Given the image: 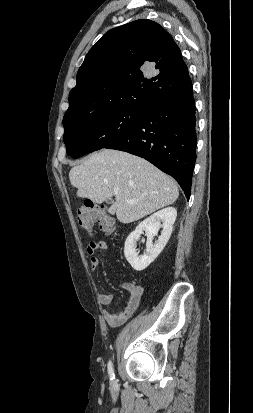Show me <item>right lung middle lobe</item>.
<instances>
[{
	"mask_svg": "<svg viewBox=\"0 0 253 413\" xmlns=\"http://www.w3.org/2000/svg\"><path fill=\"white\" fill-rule=\"evenodd\" d=\"M140 109H113L64 124L67 154L78 158L116 143L141 120Z\"/></svg>",
	"mask_w": 253,
	"mask_h": 413,
	"instance_id": "1",
	"label": "right lung middle lobe"
}]
</instances>
